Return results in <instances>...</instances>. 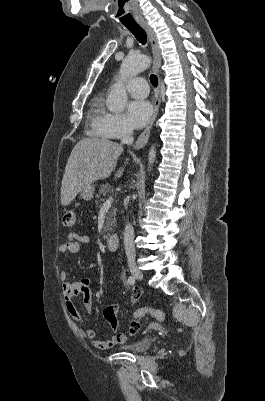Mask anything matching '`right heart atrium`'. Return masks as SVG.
<instances>
[{
  "mask_svg": "<svg viewBox=\"0 0 265 401\" xmlns=\"http://www.w3.org/2000/svg\"><path fill=\"white\" fill-rule=\"evenodd\" d=\"M104 124L111 135L117 138L128 137L133 132V127L122 115L107 113Z\"/></svg>",
  "mask_w": 265,
  "mask_h": 401,
  "instance_id": "obj_1",
  "label": "right heart atrium"
}]
</instances>
